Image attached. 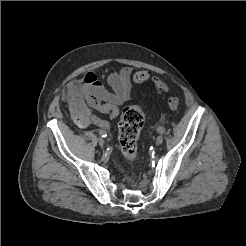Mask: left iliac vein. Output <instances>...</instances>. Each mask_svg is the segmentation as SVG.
Wrapping results in <instances>:
<instances>
[{
	"label": "left iliac vein",
	"mask_w": 246,
	"mask_h": 246,
	"mask_svg": "<svg viewBox=\"0 0 246 246\" xmlns=\"http://www.w3.org/2000/svg\"><path fill=\"white\" fill-rule=\"evenodd\" d=\"M163 143V136L159 135L156 139V145H161Z\"/></svg>",
	"instance_id": "obj_1"
}]
</instances>
